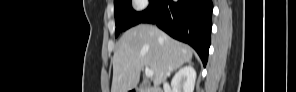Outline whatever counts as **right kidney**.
Returning a JSON list of instances; mask_svg holds the SVG:
<instances>
[{
	"label": "right kidney",
	"instance_id": "1",
	"mask_svg": "<svg viewBox=\"0 0 296 92\" xmlns=\"http://www.w3.org/2000/svg\"><path fill=\"white\" fill-rule=\"evenodd\" d=\"M196 81V71L188 65L181 68L171 81L172 92H193Z\"/></svg>",
	"mask_w": 296,
	"mask_h": 92
}]
</instances>
